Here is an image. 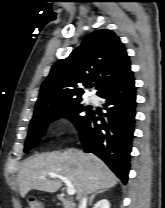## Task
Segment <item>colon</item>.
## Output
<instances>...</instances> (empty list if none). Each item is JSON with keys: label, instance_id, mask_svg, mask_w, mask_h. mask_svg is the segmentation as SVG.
Returning a JSON list of instances; mask_svg holds the SVG:
<instances>
[{"label": "colon", "instance_id": "colon-1", "mask_svg": "<svg viewBox=\"0 0 165 208\" xmlns=\"http://www.w3.org/2000/svg\"><path fill=\"white\" fill-rule=\"evenodd\" d=\"M29 208H43V205L38 200L32 199L29 201Z\"/></svg>", "mask_w": 165, "mask_h": 208}]
</instances>
